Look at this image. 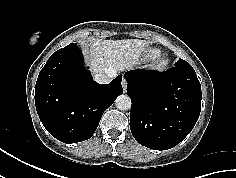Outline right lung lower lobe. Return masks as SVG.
I'll return each mask as SVG.
<instances>
[{
  "mask_svg": "<svg viewBox=\"0 0 236 178\" xmlns=\"http://www.w3.org/2000/svg\"><path fill=\"white\" fill-rule=\"evenodd\" d=\"M122 76L102 85L83 65L76 43L50 56L35 86V105L46 130L64 143L92 137L102 114L123 93Z\"/></svg>",
  "mask_w": 236,
  "mask_h": 178,
  "instance_id": "obj_1",
  "label": "right lung lower lobe"
}]
</instances>
